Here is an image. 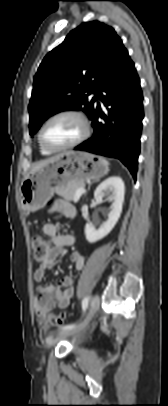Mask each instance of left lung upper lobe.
<instances>
[{
    "instance_id": "1",
    "label": "left lung upper lobe",
    "mask_w": 168,
    "mask_h": 406,
    "mask_svg": "<svg viewBox=\"0 0 168 406\" xmlns=\"http://www.w3.org/2000/svg\"><path fill=\"white\" fill-rule=\"evenodd\" d=\"M125 49L114 29L84 22L43 59L29 103L30 135L44 120L64 110H82L91 119L101 83ZM95 94L91 100L87 97Z\"/></svg>"
}]
</instances>
